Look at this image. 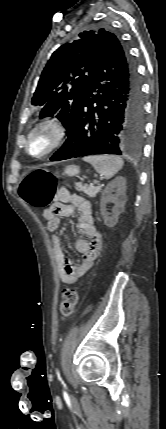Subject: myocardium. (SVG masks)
<instances>
[{"instance_id": "myocardium-1", "label": "myocardium", "mask_w": 166, "mask_h": 429, "mask_svg": "<svg viewBox=\"0 0 166 429\" xmlns=\"http://www.w3.org/2000/svg\"><path fill=\"white\" fill-rule=\"evenodd\" d=\"M65 126L63 122L55 116H48L37 122L27 133L24 149L25 152L34 159H42L53 153L63 142L65 137ZM39 133L49 135L48 147L39 154H33L29 149V144L33 136Z\"/></svg>"}]
</instances>
